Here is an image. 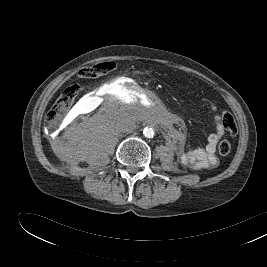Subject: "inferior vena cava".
Masks as SVG:
<instances>
[{
	"instance_id": "inferior-vena-cava-1",
	"label": "inferior vena cava",
	"mask_w": 267,
	"mask_h": 267,
	"mask_svg": "<svg viewBox=\"0 0 267 267\" xmlns=\"http://www.w3.org/2000/svg\"><path fill=\"white\" fill-rule=\"evenodd\" d=\"M116 128L119 132L131 133L135 129V123L128 118H123L117 122Z\"/></svg>"
}]
</instances>
